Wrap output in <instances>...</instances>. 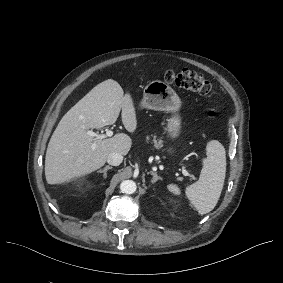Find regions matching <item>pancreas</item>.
<instances>
[{
	"label": "pancreas",
	"mask_w": 283,
	"mask_h": 283,
	"mask_svg": "<svg viewBox=\"0 0 283 283\" xmlns=\"http://www.w3.org/2000/svg\"><path fill=\"white\" fill-rule=\"evenodd\" d=\"M153 143L154 147L157 149H160L163 147V140L162 139H157L156 136H153Z\"/></svg>",
	"instance_id": "cf45deb5"
}]
</instances>
